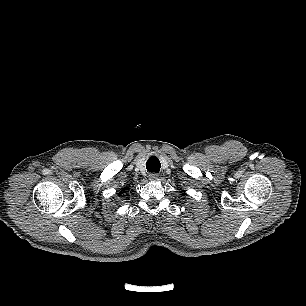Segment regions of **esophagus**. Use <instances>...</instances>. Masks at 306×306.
Here are the masks:
<instances>
[{"label": "esophagus", "instance_id": "esophagus-1", "mask_svg": "<svg viewBox=\"0 0 306 306\" xmlns=\"http://www.w3.org/2000/svg\"><path fill=\"white\" fill-rule=\"evenodd\" d=\"M159 179V175L156 173H150L149 174V180L151 181H157Z\"/></svg>", "mask_w": 306, "mask_h": 306}]
</instances>
